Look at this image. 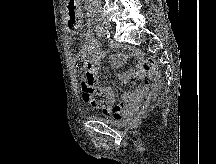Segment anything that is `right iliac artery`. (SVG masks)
<instances>
[{
	"instance_id": "obj_1",
	"label": "right iliac artery",
	"mask_w": 216,
	"mask_h": 164,
	"mask_svg": "<svg viewBox=\"0 0 216 164\" xmlns=\"http://www.w3.org/2000/svg\"><path fill=\"white\" fill-rule=\"evenodd\" d=\"M96 32L99 36L102 37H110L109 33L102 27V26H97L96 27Z\"/></svg>"
}]
</instances>
